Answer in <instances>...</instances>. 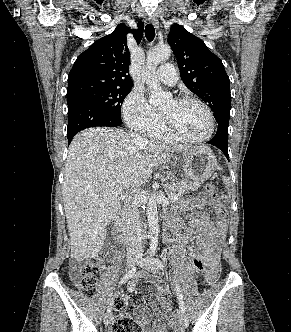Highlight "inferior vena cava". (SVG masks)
Returning <instances> with one entry per match:
<instances>
[{
	"label": "inferior vena cava",
	"instance_id": "602c4592",
	"mask_svg": "<svg viewBox=\"0 0 291 332\" xmlns=\"http://www.w3.org/2000/svg\"><path fill=\"white\" fill-rule=\"evenodd\" d=\"M131 137L135 142L146 143L147 139L142 136L131 133ZM139 188L134 187L130 192L131 196L129 198V204L126 211V249L128 254H142L141 245V223L139 216V199L138 193Z\"/></svg>",
	"mask_w": 291,
	"mask_h": 332
}]
</instances>
